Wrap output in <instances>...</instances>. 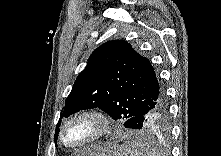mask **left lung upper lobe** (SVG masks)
<instances>
[{"label":"left lung upper lobe","instance_id":"1","mask_svg":"<svg viewBox=\"0 0 221 156\" xmlns=\"http://www.w3.org/2000/svg\"><path fill=\"white\" fill-rule=\"evenodd\" d=\"M162 90L147 58L125 40L108 41L90 55L60 117L98 107L113 119L126 121L155 105Z\"/></svg>","mask_w":221,"mask_h":156}]
</instances>
